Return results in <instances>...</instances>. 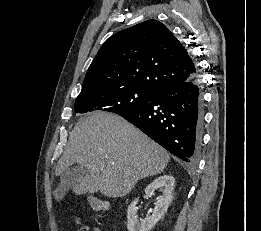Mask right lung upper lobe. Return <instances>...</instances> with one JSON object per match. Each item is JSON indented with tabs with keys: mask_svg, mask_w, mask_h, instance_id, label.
I'll return each mask as SVG.
<instances>
[{
	"mask_svg": "<svg viewBox=\"0 0 261 231\" xmlns=\"http://www.w3.org/2000/svg\"><path fill=\"white\" fill-rule=\"evenodd\" d=\"M196 74L180 41L164 24L148 20L107 39L86 73L80 95L122 87L157 94Z\"/></svg>",
	"mask_w": 261,
	"mask_h": 231,
	"instance_id": "cb5924a9",
	"label": "right lung upper lobe"
}]
</instances>
